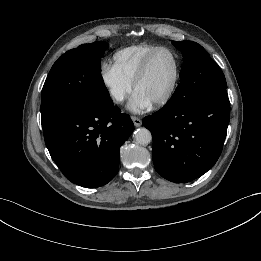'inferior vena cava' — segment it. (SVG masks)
Listing matches in <instances>:
<instances>
[{
	"label": "inferior vena cava",
	"instance_id": "1",
	"mask_svg": "<svg viewBox=\"0 0 261 261\" xmlns=\"http://www.w3.org/2000/svg\"><path fill=\"white\" fill-rule=\"evenodd\" d=\"M117 100H119V101L123 100V95H122V94L119 95V96L117 97Z\"/></svg>",
	"mask_w": 261,
	"mask_h": 261
}]
</instances>
